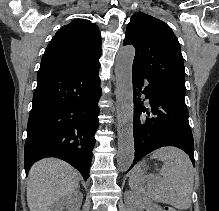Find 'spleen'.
Masks as SVG:
<instances>
[{
  "instance_id": "spleen-1",
  "label": "spleen",
  "mask_w": 219,
  "mask_h": 211,
  "mask_svg": "<svg viewBox=\"0 0 219 211\" xmlns=\"http://www.w3.org/2000/svg\"><path fill=\"white\" fill-rule=\"evenodd\" d=\"M163 161L161 175H143L140 165L133 167L129 185L137 193H145L154 201L170 203L177 209H188L192 203L193 165L185 151L178 147H161L151 155ZM143 183H148L143 187Z\"/></svg>"
}]
</instances>
